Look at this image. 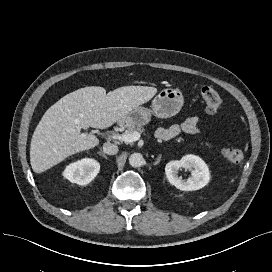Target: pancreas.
<instances>
[{
	"label": "pancreas",
	"instance_id": "1",
	"mask_svg": "<svg viewBox=\"0 0 272 272\" xmlns=\"http://www.w3.org/2000/svg\"><path fill=\"white\" fill-rule=\"evenodd\" d=\"M144 128L142 126H128L126 133H132L135 131L142 132Z\"/></svg>",
	"mask_w": 272,
	"mask_h": 272
}]
</instances>
